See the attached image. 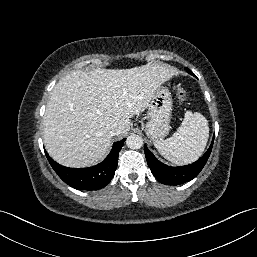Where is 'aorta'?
I'll list each match as a JSON object with an SVG mask.
<instances>
[{
	"label": "aorta",
	"instance_id": "aorta-1",
	"mask_svg": "<svg viewBox=\"0 0 257 257\" xmlns=\"http://www.w3.org/2000/svg\"><path fill=\"white\" fill-rule=\"evenodd\" d=\"M126 145L130 149H139L143 146V138L136 134L130 135L126 139Z\"/></svg>",
	"mask_w": 257,
	"mask_h": 257
}]
</instances>
